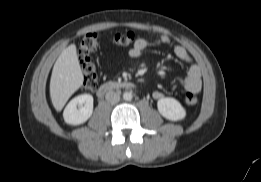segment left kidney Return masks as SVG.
<instances>
[{
  "label": "left kidney",
  "mask_w": 261,
  "mask_h": 182,
  "mask_svg": "<svg viewBox=\"0 0 261 182\" xmlns=\"http://www.w3.org/2000/svg\"><path fill=\"white\" fill-rule=\"evenodd\" d=\"M159 113L171 121H179L186 117L183 106L174 98H161L157 102Z\"/></svg>",
  "instance_id": "1"
}]
</instances>
